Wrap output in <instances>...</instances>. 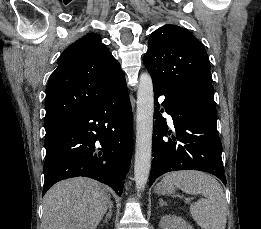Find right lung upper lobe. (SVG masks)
<instances>
[{
	"label": "right lung upper lobe",
	"instance_id": "cb5924a9",
	"mask_svg": "<svg viewBox=\"0 0 261 229\" xmlns=\"http://www.w3.org/2000/svg\"><path fill=\"white\" fill-rule=\"evenodd\" d=\"M57 64L46 87V130H56L125 83L119 63L97 34L71 44Z\"/></svg>",
	"mask_w": 261,
	"mask_h": 229
}]
</instances>
